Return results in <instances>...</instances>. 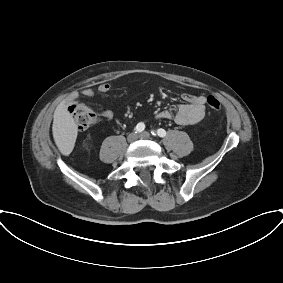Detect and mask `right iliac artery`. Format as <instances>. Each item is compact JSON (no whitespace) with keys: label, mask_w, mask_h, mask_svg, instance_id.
Instances as JSON below:
<instances>
[{"label":"right iliac artery","mask_w":283,"mask_h":283,"mask_svg":"<svg viewBox=\"0 0 283 283\" xmlns=\"http://www.w3.org/2000/svg\"><path fill=\"white\" fill-rule=\"evenodd\" d=\"M144 129H145L144 123L140 122V123L137 124V126H136V128H135V130H136L135 133H137V132L140 133V132H142Z\"/></svg>","instance_id":"right-iliac-artery-1"}]
</instances>
